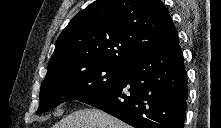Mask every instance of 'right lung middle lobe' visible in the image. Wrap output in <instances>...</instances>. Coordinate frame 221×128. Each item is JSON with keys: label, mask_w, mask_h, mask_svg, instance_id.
<instances>
[{"label": "right lung middle lobe", "mask_w": 221, "mask_h": 128, "mask_svg": "<svg viewBox=\"0 0 221 128\" xmlns=\"http://www.w3.org/2000/svg\"><path fill=\"white\" fill-rule=\"evenodd\" d=\"M127 72V66L116 67L101 63L74 64L47 73L40 91L41 114L69 100H85L102 92Z\"/></svg>", "instance_id": "dd1d6c3e"}]
</instances>
